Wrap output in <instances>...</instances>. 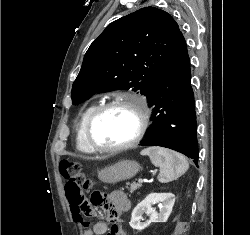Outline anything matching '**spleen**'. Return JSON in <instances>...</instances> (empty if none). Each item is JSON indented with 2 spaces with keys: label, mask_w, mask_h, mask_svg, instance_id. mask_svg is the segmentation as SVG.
Masks as SVG:
<instances>
[{
  "label": "spleen",
  "mask_w": 250,
  "mask_h": 235,
  "mask_svg": "<svg viewBox=\"0 0 250 235\" xmlns=\"http://www.w3.org/2000/svg\"><path fill=\"white\" fill-rule=\"evenodd\" d=\"M142 155L149 156L152 164L160 168L158 180L168 183L183 175L189 168L186 158L172 150L154 146L141 151Z\"/></svg>",
  "instance_id": "1"
}]
</instances>
